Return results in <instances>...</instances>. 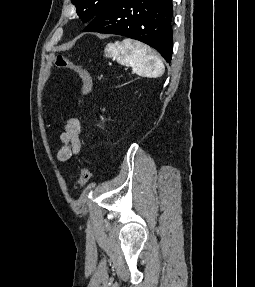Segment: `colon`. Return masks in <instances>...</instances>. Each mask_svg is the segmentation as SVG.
Returning <instances> with one entry per match:
<instances>
[{
    "mask_svg": "<svg viewBox=\"0 0 255 287\" xmlns=\"http://www.w3.org/2000/svg\"><path fill=\"white\" fill-rule=\"evenodd\" d=\"M56 65L59 68L70 70L76 73L80 77L82 81V92L84 95H87L91 92L92 79L89 72L85 68H83L79 64L73 62L71 59L64 56L57 57ZM90 177H91L90 169L87 166H82V168L80 169V175L78 180L79 187L84 188L89 182Z\"/></svg>",
    "mask_w": 255,
    "mask_h": 287,
    "instance_id": "obj_1",
    "label": "colon"
}]
</instances>
